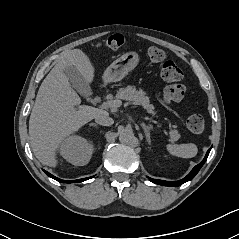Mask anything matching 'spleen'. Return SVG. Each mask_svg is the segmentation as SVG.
Listing matches in <instances>:
<instances>
[{"mask_svg": "<svg viewBox=\"0 0 239 239\" xmlns=\"http://www.w3.org/2000/svg\"><path fill=\"white\" fill-rule=\"evenodd\" d=\"M166 150L173 156L182 158H192L196 156L198 148L193 143L188 144H168Z\"/></svg>", "mask_w": 239, "mask_h": 239, "instance_id": "1", "label": "spleen"}]
</instances>
